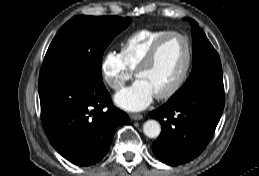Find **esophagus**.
I'll return each instance as SVG.
<instances>
[{
  "label": "esophagus",
  "instance_id": "obj_1",
  "mask_svg": "<svg viewBox=\"0 0 259 176\" xmlns=\"http://www.w3.org/2000/svg\"><path fill=\"white\" fill-rule=\"evenodd\" d=\"M130 118L132 119V120H141L142 118H143V116L141 115V114H135V113H133V114H130Z\"/></svg>",
  "mask_w": 259,
  "mask_h": 176
}]
</instances>
